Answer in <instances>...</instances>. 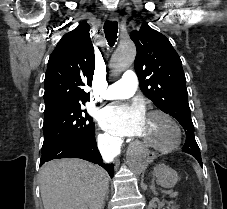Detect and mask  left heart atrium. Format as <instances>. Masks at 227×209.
Masks as SVG:
<instances>
[{
	"instance_id": "39dd6f15",
	"label": "left heart atrium",
	"mask_w": 227,
	"mask_h": 209,
	"mask_svg": "<svg viewBox=\"0 0 227 209\" xmlns=\"http://www.w3.org/2000/svg\"><path fill=\"white\" fill-rule=\"evenodd\" d=\"M147 119L144 103L115 102L105 107L99 114L100 126L114 135L131 136L138 134Z\"/></svg>"
}]
</instances>
